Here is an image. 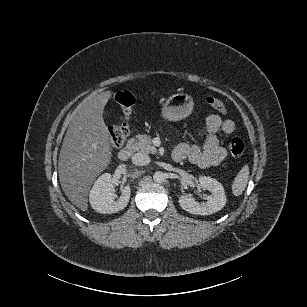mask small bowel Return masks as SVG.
Masks as SVG:
<instances>
[{
	"label": "small bowel",
	"mask_w": 307,
	"mask_h": 307,
	"mask_svg": "<svg viewBox=\"0 0 307 307\" xmlns=\"http://www.w3.org/2000/svg\"><path fill=\"white\" fill-rule=\"evenodd\" d=\"M235 130L231 119H222L217 114H210L206 119L205 131L200 135L204 138L203 146L179 144L173 151L175 161L188 160L201 168L219 165L227 156V150L220 145L219 133L230 136Z\"/></svg>",
	"instance_id": "c3829d8e"
}]
</instances>
